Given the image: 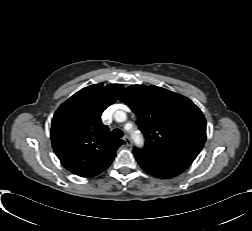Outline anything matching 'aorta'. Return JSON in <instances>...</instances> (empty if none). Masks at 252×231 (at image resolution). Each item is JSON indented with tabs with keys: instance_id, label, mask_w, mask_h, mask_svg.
Returning <instances> with one entry per match:
<instances>
[{
	"instance_id": "obj_1",
	"label": "aorta",
	"mask_w": 252,
	"mask_h": 231,
	"mask_svg": "<svg viewBox=\"0 0 252 231\" xmlns=\"http://www.w3.org/2000/svg\"><path fill=\"white\" fill-rule=\"evenodd\" d=\"M132 138H133L134 142H135L138 146H142V145H143V141H144V140H143V137L141 136L140 133H137V132L133 133Z\"/></svg>"
}]
</instances>
